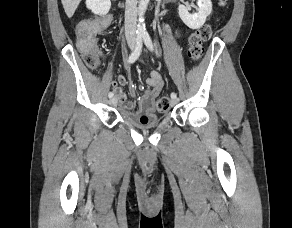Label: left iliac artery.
I'll list each match as a JSON object with an SVG mask.
<instances>
[{"instance_id": "obj_1", "label": "left iliac artery", "mask_w": 292, "mask_h": 228, "mask_svg": "<svg viewBox=\"0 0 292 228\" xmlns=\"http://www.w3.org/2000/svg\"><path fill=\"white\" fill-rule=\"evenodd\" d=\"M142 36H143V40H144V43H145L146 47L150 51H154V46H153V43H152V40H151L149 34L147 32H145ZM171 98H177V94L172 92L171 93Z\"/></svg>"}]
</instances>
